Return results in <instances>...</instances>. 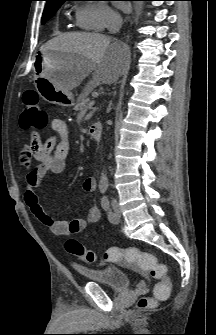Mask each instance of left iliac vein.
Returning a JSON list of instances; mask_svg holds the SVG:
<instances>
[{
	"label": "left iliac vein",
	"instance_id": "left-iliac-vein-1",
	"mask_svg": "<svg viewBox=\"0 0 216 335\" xmlns=\"http://www.w3.org/2000/svg\"><path fill=\"white\" fill-rule=\"evenodd\" d=\"M112 208H113V211H114V214H115V217H116L113 222L114 223H119L120 219H121V212H120V208H119V205H118L116 200L112 201Z\"/></svg>",
	"mask_w": 216,
	"mask_h": 335
}]
</instances>
